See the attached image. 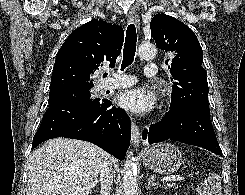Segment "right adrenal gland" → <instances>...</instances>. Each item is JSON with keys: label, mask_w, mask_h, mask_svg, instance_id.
I'll list each match as a JSON object with an SVG mask.
<instances>
[{"label": "right adrenal gland", "mask_w": 245, "mask_h": 195, "mask_svg": "<svg viewBox=\"0 0 245 195\" xmlns=\"http://www.w3.org/2000/svg\"><path fill=\"white\" fill-rule=\"evenodd\" d=\"M99 190L96 188V192H98Z\"/></svg>", "instance_id": "1"}]
</instances>
